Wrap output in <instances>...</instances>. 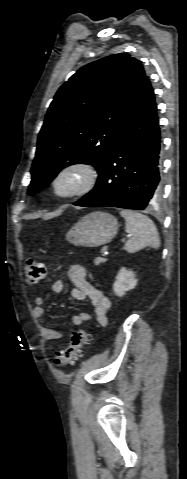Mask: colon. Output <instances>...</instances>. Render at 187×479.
<instances>
[{
  "label": "colon",
  "instance_id": "colon-1",
  "mask_svg": "<svg viewBox=\"0 0 187 479\" xmlns=\"http://www.w3.org/2000/svg\"><path fill=\"white\" fill-rule=\"evenodd\" d=\"M25 281L29 285H36L42 281L47 274L46 265L35 259L29 258L23 262ZM91 340V335L83 328L72 333L67 346L58 352L54 358V365L63 368L73 364L83 353V347Z\"/></svg>",
  "mask_w": 187,
  "mask_h": 479
}]
</instances>
